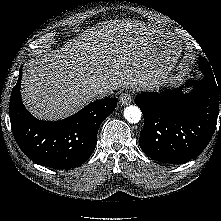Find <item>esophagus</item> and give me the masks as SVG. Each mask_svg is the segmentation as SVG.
Returning <instances> with one entry per match:
<instances>
[{
    "label": "esophagus",
    "instance_id": "1",
    "mask_svg": "<svg viewBox=\"0 0 221 221\" xmlns=\"http://www.w3.org/2000/svg\"><path fill=\"white\" fill-rule=\"evenodd\" d=\"M120 103L123 105H129L132 101V94L130 92H123L120 95Z\"/></svg>",
    "mask_w": 221,
    "mask_h": 221
}]
</instances>
